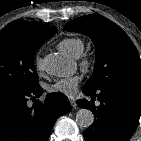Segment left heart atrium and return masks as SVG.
<instances>
[{
	"label": "left heart atrium",
	"mask_w": 141,
	"mask_h": 141,
	"mask_svg": "<svg viewBox=\"0 0 141 141\" xmlns=\"http://www.w3.org/2000/svg\"><path fill=\"white\" fill-rule=\"evenodd\" d=\"M81 81L80 76L73 75L67 78L57 80L51 87L50 91L54 93H62L65 95H73Z\"/></svg>",
	"instance_id": "39dd6f15"
}]
</instances>
